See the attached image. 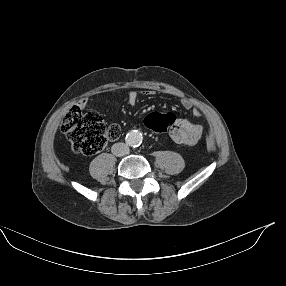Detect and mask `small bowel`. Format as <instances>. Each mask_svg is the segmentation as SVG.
Returning a JSON list of instances; mask_svg holds the SVG:
<instances>
[{"label":"small bowel","mask_w":286,"mask_h":286,"mask_svg":"<svg viewBox=\"0 0 286 286\" xmlns=\"http://www.w3.org/2000/svg\"><path fill=\"white\" fill-rule=\"evenodd\" d=\"M144 94L150 96L154 94L152 90H146ZM139 94L136 90H132L127 95V102L130 106L136 105L138 102ZM86 103L82 102L81 107H85ZM184 106L189 109L191 104L189 101H184ZM196 116H201V112L195 110ZM171 139L180 145L192 146L195 145L202 137L203 128L200 124L192 123L187 120L180 119L179 123L168 131Z\"/></svg>","instance_id":"obj_1"}]
</instances>
